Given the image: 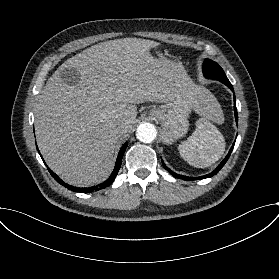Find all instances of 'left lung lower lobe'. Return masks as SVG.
<instances>
[{
    "mask_svg": "<svg viewBox=\"0 0 279 279\" xmlns=\"http://www.w3.org/2000/svg\"><path fill=\"white\" fill-rule=\"evenodd\" d=\"M228 87L234 92L232 85H230ZM234 112H235L236 123H238V114H237V109H236L235 97H234ZM234 144H235V142L233 143L229 153L227 154L225 159L220 163V165L213 172H211V173H209L207 175H204V176H200V177H187V176L179 175V174L174 173L172 170H170L163 162H162V164H163L164 168L168 172H170L176 178H180V179H183V180H198V179L209 178V177H212L215 174H217L221 170V168L225 165V163L227 162V160L230 157V154H231V152L233 150Z\"/></svg>",
    "mask_w": 279,
    "mask_h": 279,
    "instance_id": "obj_1",
    "label": "left lung lower lobe"
}]
</instances>
